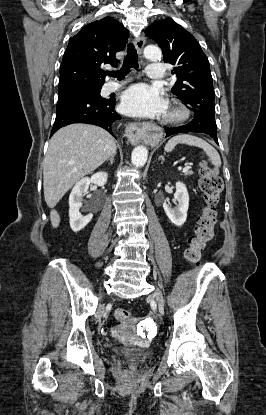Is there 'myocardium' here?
<instances>
[{
	"label": "myocardium",
	"instance_id": "1",
	"mask_svg": "<svg viewBox=\"0 0 266 415\" xmlns=\"http://www.w3.org/2000/svg\"><path fill=\"white\" fill-rule=\"evenodd\" d=\"M190 115L187 107L179 102H174L164 115V121L170 124H177L185 121Z\"/></svg>",
	"mask_w": 266,
	"mask_h": 415
}]
</instances>
